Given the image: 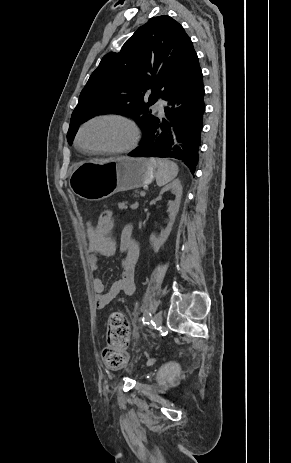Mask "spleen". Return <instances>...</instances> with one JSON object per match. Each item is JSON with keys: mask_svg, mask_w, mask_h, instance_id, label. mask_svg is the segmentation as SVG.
I'll return each mask as SVG.
<instances>
[{"mask_svg": "<svg viewBox=\"0 0 291 463\" xmlns=\"http://www.w3.org/2000/svg\"><path fill=\"white\" fill-rule=\"evenodd\" d=\"M150 163L157 169L156 183L159 187L172 181L178 174V166L170 160L151 158Z\"/></svg>", "mask_w": 291, "mask_h": 463, "instance_id": "1", "label": "spleen"}]
</instances>
